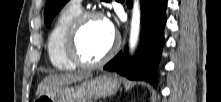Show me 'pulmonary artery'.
I'll list each match as a JSON object with an SVG mask.
<instances>
[{
	"mask_svg": "<svg viewBox=\"0 0 221 102\" xmlns=\"http://www.w3.org/2000/svg\"><path fill=\"white\" fill-rule=\"evenodd\" d=\"M72 3H74V4L78 5V6H81V1L80 0H75Z\"/></svg>",
	"mask_w": 221,
	"mask_h": 102,
	"instance_id": "1",
	"label": "pulmonary artery"
}]
</instances>
